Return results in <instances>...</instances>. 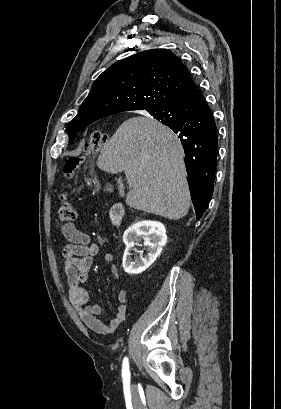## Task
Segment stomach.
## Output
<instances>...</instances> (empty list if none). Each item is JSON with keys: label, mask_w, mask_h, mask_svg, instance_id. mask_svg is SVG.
<instances>
[{"label": "stomach", "mask_w": 281, "mask_h": 409, "mask_svg": "<svg viewBox=\"0 0 281 409\" xmlns=\"http://www.w3.org/2000/svg\"><path fill=\"white\" fill-rule=\"evenodd\" d=\"M106 190H112V186H108V188H106Z\"/></svg>", "instance_id": "obj_1"}]
</instances>
